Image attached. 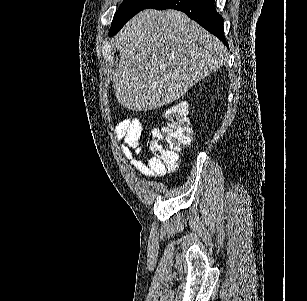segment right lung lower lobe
Returning a JSON list of instances; mask_svg holds the SVG:
<instances>
[{
	"instance_id": "right-lung-lower-lobe-1",
	"label": "right lung lower lobe",
	"mask_w": 307,
	"mask_h": 301,
	"mask_svg": "<svg viewBox=\"0 0 307 301\" xmlns=\"http://www.w3.org/2000/svg\"><path fill=\"white\" fill-rule=\"evenodd\" d=\"M149 8L182 11L228 46L223 35V18L216 12L215 0H158Z\"/></svg>"
}]
</instances>
